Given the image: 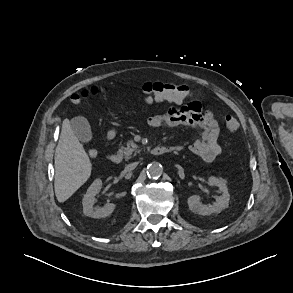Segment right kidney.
<instances>
[{
    "mask_svg": "<svg viewBox=\"0 0 293 293\" xmlns=\"http://www.w3.org/2000/svg\"><path fill=\"white\" fill-rule=\"evenodd\" d=\"M101 186L102 181L100 179H96L84 195L82 204L83 213L86 216L92 218H104L109 216L114 211L116 205L113 203L105 204L102 208H94V204L96 201L95 196Z\"/></svg>",
    "mask_w": 293,
    "mask_h": 293,
    "instance_id": "1",
    "label": "right kidney"
}]
</instances>
